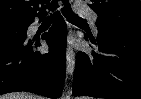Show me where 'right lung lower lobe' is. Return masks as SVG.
<instances>
[{
    "label": "right lung lower lobe",
    "mask_w": 141,
    "mask_h": 99,
    "mask_svg": "<svg viewBox=\"0 0 141 99\" xmlns=\"http://www.w3.org/2000/svg\"><path fill=\"white\" fill-rule=\"evenodd\" d=\"M42 20V18H40ZM34 21H23L25 29L0 30V95L28 91L50 98L60 95L66 67V24L57 15L48 33L42 36L49 53L35 48L40 39L27 38V28Z\"/></svg>",
    "instance_id": "right-lung-lower-lobe-1"
}]
</instances>
